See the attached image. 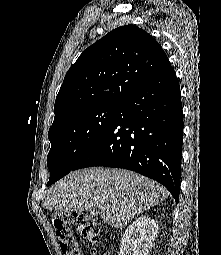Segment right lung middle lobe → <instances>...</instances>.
Instances as JSON below:
<instances>
[{
	"label": "right lung middle lobe",
	"mask_w": 221,
	"mask_h": 255,
	"mask_svg": "<svg viewBox=\"0 0 221 255\" xmlns=\"http://www.w3.org/2000/svg\"><path fill=\"white\" fill-rule=\"evenodd\" d=\"M120 103H103L76 111L49 129L51 149L47 186L68 174L109 125Z\"/></svg>",
	"instance_id": "obj_1"
}]
</instances>
